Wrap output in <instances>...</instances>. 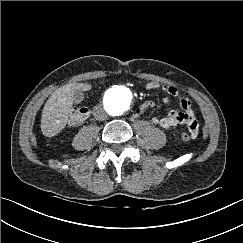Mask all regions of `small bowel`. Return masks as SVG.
Segmentation results:
<instances>
[{"label": "small bowel", "mask_w": 243, "mask_h": 243, "mask_svg": "<svg viewBox=\"0 0 243 243\" xmlns=\"http://www.w3.org/2000/svg\"><path fill=\"white\" fill-rule=\"evenodd\" d=\"M147 90H161L167 95L173 96L179 101L180 110H172L164 116H156L152 119L153 123L164 128L170 129L178 125H184L188 128L189 133L193 138H196L199 133V122L192 108V104L188 98L183 96L175 87L168 84H160L158 82H149L146 84ZM163 102L168 103L169 97L164 96ZM154 103L151 101L141 104L135 111L134 116L139 117L147 109L153 108Z\"/></svg>", "instance_id": "c3829d8e"}]
</instances>
